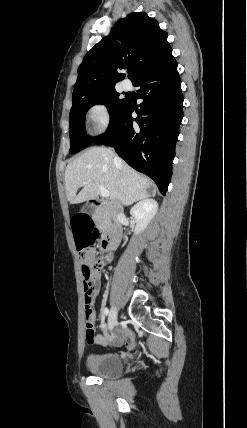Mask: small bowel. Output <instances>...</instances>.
<instances>
[{"mask_svg":"<svg viewBox=\"0 0 247 428\" xmlns=\"http://www.w3.org/2000/svg\"><path fill=\"white\" fill-rule=\"evenodd\" d=\"M89 255L91 256V259L93 261H95L94 252L90 251ZM100 289H101V281H100V277H98V279L93 283V285L91 287L90 295L88 298V301L92 305L94 304V301H95L96 297L98 296ZM85 302H86V299H85ZM126 337H127V335L123 331H118L117 333H115L109 337H105L104 335L97 334V335H95V339L92 342H89L87 339L86 340H87L88 344L106 345L108 343H112L114 345H119L123 342V340Z\"/></svg>","mask_w":247,"mask_h":428,"instance_id":"small-bowel-1","label":"small bowel"}]
</instances>
